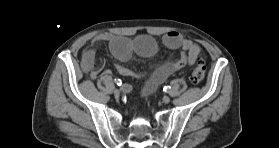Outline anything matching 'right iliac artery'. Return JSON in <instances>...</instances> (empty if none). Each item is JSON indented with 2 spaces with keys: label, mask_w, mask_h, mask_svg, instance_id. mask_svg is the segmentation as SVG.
<instances>
[{
  "label": "right iliac artery",
  "mask_w": 279,
  "mask_h": 148,
  "mask_svg": "<svg viewBox=\"0 0 279 148\" xmlns=\"http://www.w3.org/2000/svg\"><path fill=\"white\" fill-rule=\"evenodd\" d=\"M114 81L118 86L122 85V81L120 79H115Z\"/></svg>",
  "instance_id": "1"
}]
</instances>
